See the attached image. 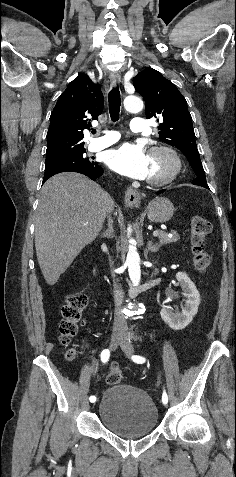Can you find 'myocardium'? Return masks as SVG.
<instances>
[{"label": "myocardium", "instance_id": "1", "mask_svg": "<svg viewBox=\"0 0 236 477\" xmlns=\"http://www.w3.org/2000/svg\"><path fill=\"white\" fill-rule=\"evenodd\" d=\"M161 153L167 157L170 162V170L163 176L158 178H147V183L152 186H163L172 182L180 173L182 169V161L178 153L167 145H157L153 146L149 154L153 156L155 154Z\"/></svg>", "mask_w": 236, "mask_h": 477}]
</instances>
